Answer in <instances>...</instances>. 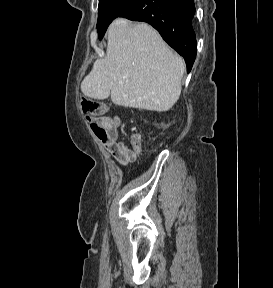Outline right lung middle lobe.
Wrapping results in <instances>:
<instances>
[{"instance_id":"dd1d6c3e","label":"right lung middle lobe","mask_w":273,"mask_h":288,"mask_svg":"<svg viewBox=\"0 0 273 288\" xmlns=\"http://www.w3.org/2000/svg\"><path fill=\"white\" fill-rule=\"evenodd\" d=\"M137 0H99L97 30L99 39H102L109 24L120 17Z\"/></svg>"}]
</instances>
